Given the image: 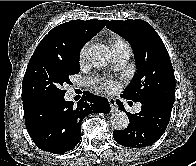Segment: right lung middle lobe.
Here are the masks:
<instances>
[{"label": "right lung middle lobe", "instance_id": "1", "mask_svg": "<svg viewBox=\"0 0 196 166\" xmlns=\"http://www.w3.org/2000/svg\"><path fill=\"white\" fill-rule=\"evenodd\" d=\"M79 73V57L62 60L45 53H33L22 82V101L65 95L69 76Z\"/></svg>", "mask_w": 196, "mask_h": 166}]
</instances>
